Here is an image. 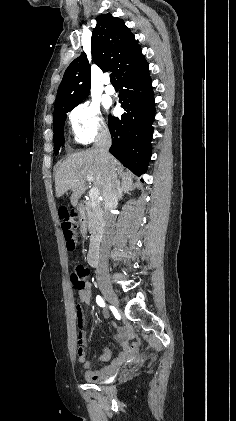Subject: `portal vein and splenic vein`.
Returning a JSON list of instances; mask_svg holds the SVG:
<instances>
[{"label":"portal vein and splenic vein","mask_w":236,"mask_h":421,"mask_svg":"<svg viewBox=\"0 0 236 421\" xmlns=\"http://www.w3.org/2000/svg\"><path fill=\"white\" fill-rule=\"evenodd\" d=\"M86 180H89V182H92L93 176H87ZM99 194H100V192H99L98 188H96V186H92V188H90L89 196L91 198L92 204H96V202H98V200L100 198Z\"/></svg>","instance_id":"1"}]
</instances>
